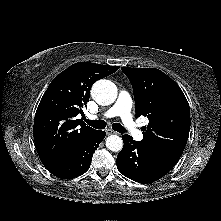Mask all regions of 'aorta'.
I'll list each match as a JSON object with an SVG mask.
<instances>
[{
    "label": "aorta",
    "instance_id": "1",
    "mask_svg": "<svg viewBox=\"0 0 221 221\" xmlns=\"http://www.w3.org/2000/svg\"><path fill=\"white\" fill-rule=\"evenodd\" d=\"M91 95L99 105H110L117 98V87L110 80H98L92 86ZM106 147L113 152H119L123 148L122 138L118 135L108 136L106 139Z\"/></svg>",
    "mask_w": 221,
    "mask_h": 221
}]
</instances>
